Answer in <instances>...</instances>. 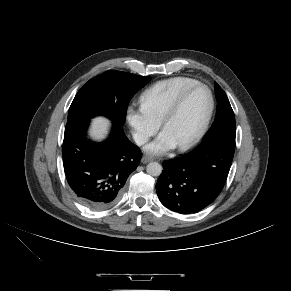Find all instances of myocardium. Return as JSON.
<instances>
[{
	"instance_id": "obj_1",
	"label": "myocardium",
	"mask_w": 291,
	"mask_h": 291,
	"mask_svg": "<svg viewBox=\"0 0 291 291\" xmlns=\"http://www.w3.org/2000/svg\"><path fill=\"white\" fill-rule=\"evenodd\" d=\"M198 88H203V89H205L207 91L208 96H209V108H208L207 114H206V116H205L200 128L198 129V131L189 140H187L186 142H184V143H182L180 145H177V148L180 151H186V150L192 148L204 136V134H205V132H206L208 126H209V123L211 121V118L213 116L214 109H215V99H214V95H213L212 90L206 84H203V83H200V82L187 87L173 101V103L170 105V107L167 109V111L163 115V117L161 119V122H160L161 128L164 130L165 125L179 111V109L181 108V106L184 103V101L187 98V96L192 91H194V90H196Z\"/></svg>"
}]
</instances>
